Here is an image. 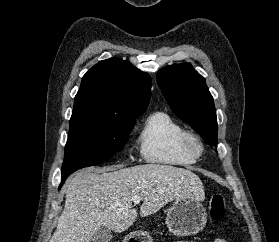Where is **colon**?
<instances>
[{
  "label": "colon",
  "instance_id": "obj_1",
  "mask_svg": "<svg viewBox=\"0 0 279 242\" xmlns=\"http://www.w3.org/2000/svg\"><path fill=\"white\" fill-rule=\"evenodd\" d=\"M207 207L212 220L221 221L225 216V199L220 193L212 194L207 199Z\"/></svg>",
  "mask_w": 279,
  "mask_h": 242
}]
</instances>
